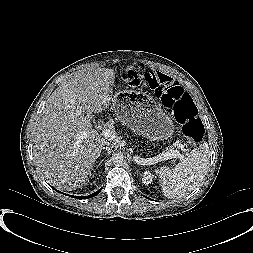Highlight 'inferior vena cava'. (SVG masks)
<instances>
[{
	"mask_svg": "<svg viewBox=\"0 0 253 253\" xmlns=\"http://www.w3.org/2000/svg\"><path fill=\"white\" fill-rule=\"evenodd\" d=\"M103 149H106L107 153H111L112 146H110L109 143H108V144H106V147H103Z\"/></svg>",
	"mask_w": 253,
	"mask_h": 253,
	"instance_id": "1",
	"label": "inferior vena cava"
}]
</instances>
